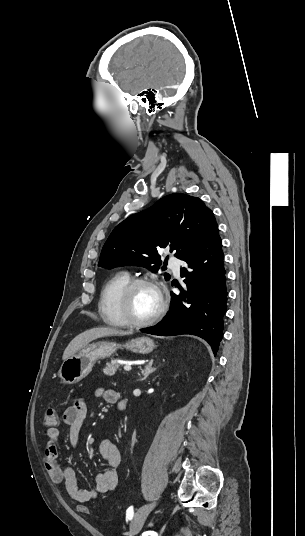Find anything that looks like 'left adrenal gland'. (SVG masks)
<instances>
[{"label":"left adrenal gland","mask_w":305,"mask_h":536,"mask_svg":"<svg viewBox=\"0 0 305 536\" xmlns=\"http://www.w3.org/2000/svg\"><path fill=\"white\" fill-rule=\"evenodd\" d=\"M153 360L149 362L148 366H146L145 370H142L141 374H143V378L141 380H146L148 378L149 374H152V372H155L157 368H152Z\"/></svg>","instance_id":"obj_1"}]
</instances>
